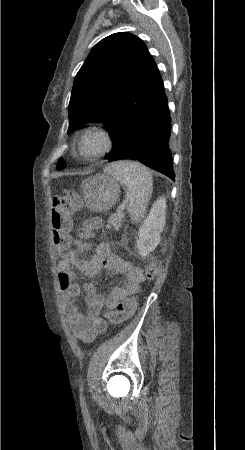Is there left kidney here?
I'll return each instance as SVG.
<instances>
[{
    "label": "left kidney",
    "instance_id": "obj_1",
    "mask_svg": "<svg viewBox=\"0 0 245 450\" xmlns=\"http://www.w3.org/2000/svg\"><path fill=\"white\" fill-rule=\"evenodd\" d=\"M166 207L165 198L155 201L149 215L139 228L136 247L142 257L153 252L160 242V234L166 223Z\"/></svg>",
    "mask_w": 245,
    "mask_h": 450
}]
</instances>
